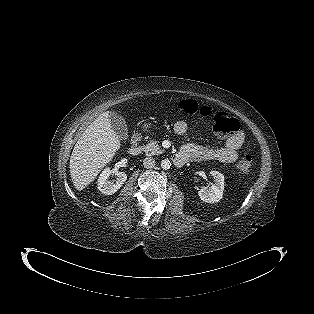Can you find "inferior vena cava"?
Returning <instances> with one entry per match:
<instances>
[{
	"instance_id": "602c4592",
	"label": "inferior vena cava",
	"mask_w": 314,
	"mask_h": 314,
	"mask_svg": "<svg viewBox=\"0 0 314 314\" xmlns=\"http://www.w3.org/2000/svg\"><path fill=\"white\" fill-rule=\"evenodd\" d=\"M143 165L145 168H153L155 166V160L153 157H146L143 160Z\"/></svg>"
}]
</instances>
